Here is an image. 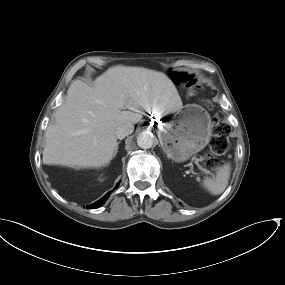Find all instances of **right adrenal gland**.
Segmentation results:
<instances>
[{"label": "right adrenal gland", "mask_w": 285, "mask_h": 285, "mask_svg": "<svg viewBox=\"0 0 285 285\" xmlns=\"http://www.w3.org/2000/svg\"><path fill=\"white\" fill-rule=\"evenodd\" d=\"M121 142L119 141V142H117V145H116V149H115V153H114V156H116V154H117V152H118V147H119V144H120Z\"/></svg>", "instance_id": "right-adrenal-gland-1"}]
</instances>
